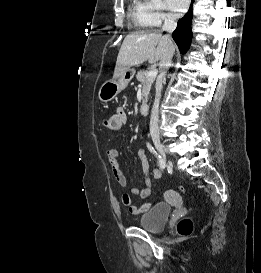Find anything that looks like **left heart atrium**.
<instances>
[{"label":"left heart atrium","instance_id":"1","mask_svg":"<svg viewBox=\"0 0 261 273\" xmlns=\"http://www.w3.org/2000/svg\"><path fill=\"white\" fill-rule=\"evenodd\" d=\"M169 6L176 12H181L188 7L189 0H167Z\"/></svg>","mask_w":261,"mask_h":273}]
</instances>
